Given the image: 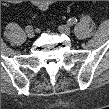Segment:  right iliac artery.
I'll return each mask as SVG.
<instances>
[{"label": "right iliac artery", "mask_w": 109, "mask_h": 109, "mask_svg": "<svg viewBox=\"0 0 109 109\" xmlns=\"http://www.w3.org/2000/svg\"><path fill=\"white\" fill-rule=\"evenodd\" d=\"M30 29H32V26L28 25V26L26 27V30H30Z\"/></svg>", "instance_id": "right-iliac-artery-1"}]
</instances>
